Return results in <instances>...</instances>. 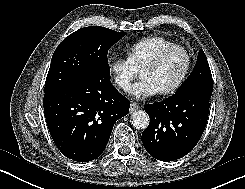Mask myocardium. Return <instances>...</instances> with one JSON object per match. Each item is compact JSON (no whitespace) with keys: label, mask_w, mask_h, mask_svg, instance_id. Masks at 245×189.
<instances>
[{"label":"myocardium","mask_w":245,"mask_h":189,"mask_svg":"<svg viewBox=\"0 0 245 189\" xmlns=\"http://www.w3.org/2000/svg\"><path fill=\"white\" fill-rule=\"evenodd\" d=\"M181 51L184 53V55L186 56L187 59V65L185 68V71L183 72L182 76L180 77V79L174 83L172 86L160 91V93L162 95H170V94H174L176 93L183 85L184 83L187 81L192 67H193V57L192 54L189 52V50L187 48H185L184 46L181 45H176V44H172L170 46H167L163 49H161L152 59H150L141 69L140 74L146 70H150V69H154L156 68L163 60L164 58L171 53L172 51Z\"/></svg>","instance_id":"f54148a6"}]
</instances>
